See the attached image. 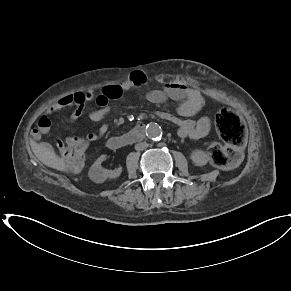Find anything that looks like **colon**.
<instances>
[{
    "instance_id": "1",
    "label": "colon",
    "mask_w": 291,
    "mask_h": 291,
    "mask_svg": "<svg viewBox=\"0 0 291 291\" xmlns=\"http://www.w3.org/2000/svg\"><path fill=\"white\" fill-rule=\"evenodd\" d=\"M61 104H73L72 95L62 99ZM217 131L226 145L212 143L209 147V156L212 163L218 167L233 166L240 157V148L246 139V127L240 116L230 110L221 109L215 118ZM87 144L81 138L72 139L62 153L66 165L73 171H79L86 159Z\"/></svg>"
}]
</instances>
